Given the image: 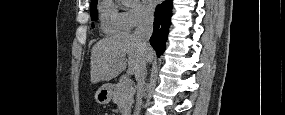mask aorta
I'll return each mask as SVG.
<instances>
[{"instance_id":"aorta-1","label":"aorta","mask_w":285,"mask_h":115,"mask_svg":"<svg viewBox=\"0 0 285 115\" xmlns=\"http://www.w3.org/2000/svg\"><path fill=\"white\" fill-rule=\"evenodd\" d=\"M124 2L126 4H133V3L137 2V0H125Z\"/></svg>"}]
</instances>
